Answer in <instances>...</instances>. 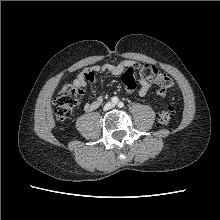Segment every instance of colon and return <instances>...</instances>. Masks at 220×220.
<instances>
[{"label": "colon", "mask_w": 220, "mask_h": 220, "mask_svg": "<svg viewBox=\"0 0 220 220\" xmlns=\"http://www.w3.org/2000/svg\"><path fill=\"white\" fill-rule=\"evenodd\" d=\"M137 77L155 85L160 96H166L173 86L171 77L154 65L137 63L122 76L125 88L135 90L137 88ZM81 95L82 90L80 87L74 84H65L55 98V117L61 121L68 119L78 105ZM173 115L174 110L172 108L163 110L158 117L159 124L162 126L168 125Z\"/></svg>", "instance_id": "colon-1"}]
</instances>
